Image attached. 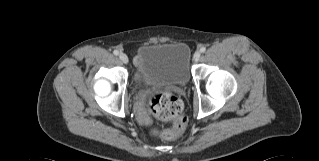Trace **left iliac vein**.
<instances>
[{
    "label": "left iliac vein",
    "instance_id": "obj_1",
    "mask_svg": "<svg viewBox=\"0 0 319 161\" xmlns=\"http://www.w3.org/2000/svg\"><path fill=\"white\" fill-rule=\"evenodd\" d=\"M193 58H194L195 61H198L199 58H200V52H199V51H196V52L194 53V55H193Z\"/></svg>",
    "mask_w": 319,
    "mask_h": 161
}]
</instances>
